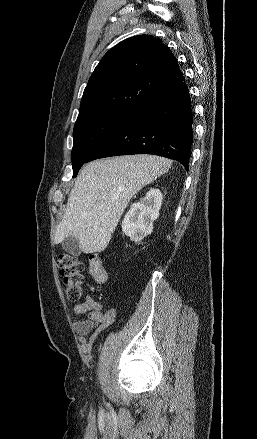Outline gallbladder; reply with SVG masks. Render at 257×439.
I'll return each instance as SVG.
<instances>
[{"instance_id":"1","label":"gallbladder","mask_w":257,"mask_h":439,"mask_svg":"<svg viewBox=\"0 0 257 439\" xmlns=\"http://www.w3.org/2000/svg\"><path fill=\"white\" fill-rule=\"evenodd\" d=\"M62 249L74 256H79L81 253L78 240L73 236H69L62 241Z\"/></svg>"}]
</instances>
